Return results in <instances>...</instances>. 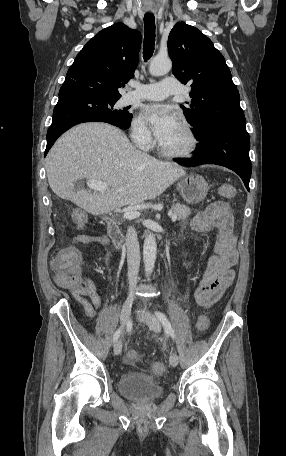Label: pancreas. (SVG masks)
<instances>
[{"label": "pancreas", "instance_id": "obj_1", "mask_svg": "<svg viewBox=\"0 0 286 456\" xmlns=\"http://www.w3.org/2000/svg\"><path fill=\"white\" fill-rule=\"evenodd\" d=\"M172 213L177 216L178 220L185 221L191 214V210L186 205L177 203L172 206Z\"/></svg>", "mask_w": 286, "mask_h": 456}]
</instances>
